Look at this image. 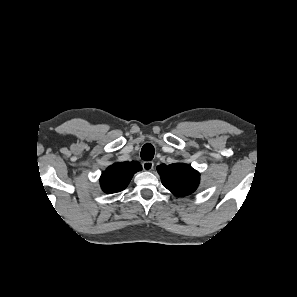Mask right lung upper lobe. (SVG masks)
I'll return each mask as SVG.
<instances>
[{"mask_svg":"<svg viewBox=\"0 0 297 297\" xmlns=\"http://www.w3.org/2000/svg\"><path fill=\"white\" fill-rule=\"evenodd\" d=\"M141 170L138 162H122L109 166L100 177V184L105 193H116L124 190L133 175Z\"/></svg>","mask_w":297,"mask_h":297,"instance_id":"1","label":"right lung upper lobe"}]
</instances>
